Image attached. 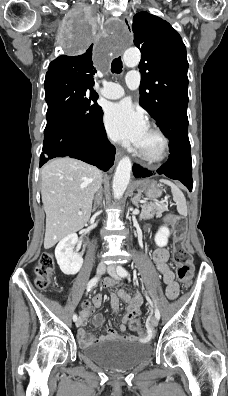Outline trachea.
Returning a JSON list of instances; mask_svg holds the SVG:
<instances>
[{
    "label": "trachea",
    "instance_id": "3493384b",
    "mask_svg": "<svg viewBox=\"0 0 228 396\" xmlns=\"http://www.w3.org/2000/svg\"><path fill=\"white\" fill-rule=\"evenodd\" d=\"M122 60L121 57L115 58L111 64L112 73L120 74L122 72Z\"/></svg>",
    "mask_w": 228,
    "mask_h": 396
}]
</instances>
